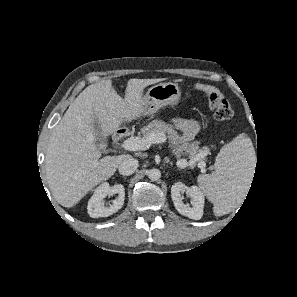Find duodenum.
Here are the masks:
<instances>
[{
    "instance_id": "duodenum-1",
    "label": "duodenum",
    "mask_w": 297,
    "mask_h": 297,
    "mask_svg": "<svg viewBox=\"0 0 297 297\" xmlns=\"http://www.w3.org/2000/svg\"><path fill=\"white\" fill-rule=\"evenodd\" d=\"M125 130L119 129L113 134V140L118 141L120 137L124 134Z\"/></svg>"
}]
</instances>
